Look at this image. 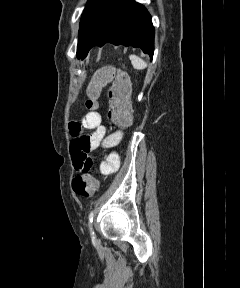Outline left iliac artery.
Segmentation results:
<instances>
[{"mask_svg":"<svg viewBox=\"0 0 240 288\" xmlns=\"http://www.w3.org/2000/svg\"><path fill=\"white\" fill-rule=\"evenodd\" d=\"M93 216H94V211H91L89 214V227H90V232L92 236H94V232L92 231V228H91V224L93 222Z\"/></svg>","mask_w":240,"mask_h":288,"instance_id":"1","label":"left iliac artery"}]
</instances>
